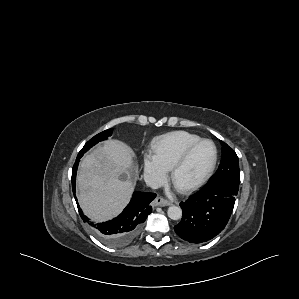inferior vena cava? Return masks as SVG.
Here are the masks:
<instances>
[{"instance_id": "1", "label": "inferior vena cava", "mask_w": 299, "mask_h": 299, "mask_svg": "<svg viewBox=\"0 0 299 299\" xmlns=\"http://www.w3.org/2000/svg\"><path fill=\"white\" fill-rule=\"evenodd\" d=\"M144 181L147 186L151 187L152 189H157L160 187V183L158 182V180L150 175L144 176Z\"/></svg>"}]
</instances>
